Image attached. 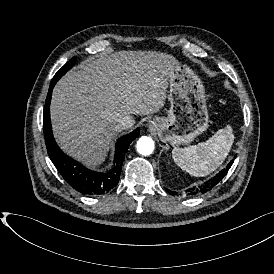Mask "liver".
Returning a JSON list of instances; mask_svg holds the SVG:
<instances>
[{
	"instance_id": "liver-1",
	"label": "liver",
	"mask_w": 274,
	"mask_h": 274,
	"mask_svg": "<svg viewBox=\"0 0 274 274\" xmlns=\"http://www.w3.org/2000/svg\"><path fill=\"white\" fill-rule=\"evenodd\" d=\"M179 62L164 53H102L82 62L58 83L51 104L60 145L86 165L106 158L124 115L159 113Z\"/></svg>"
}]
</instances>
